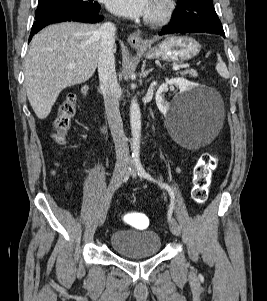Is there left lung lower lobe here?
I'll use <instances>...</instances> for the list:
<instances>
[{
  "instance_id": "obj_1",
  "label": "left lung lower lobe",
  "mask_w": 267,
  "mask_h": 301,
  "mask_svg": "<svg viewBox=\"0 0 267 301\" xmlns=\"http://www.w3.org/2000/svg\"><path fill=\"white\" fill-rule=\"evenodd\" d=\"M211 33V34H218L220 36L225 37L224 32H218L216 30L211 29L208 26H205L203 24H197V23H179L165 26L162 28V31L159 32V35H165V34H173V33Z\"/></svg>"
}]
</instances>
